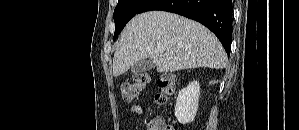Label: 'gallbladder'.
<instances>
[{"instance_id":"bac80fb5","label":"gallbladder","mask_w":299,"mask_h":130,"mask_svg":"<svg viewBox=\"0 0 299 130\" xmlns=\"http://www.w3.org/2000/svg\"><path fill=\"white\" fill-rule=\"evenodd\" d=\"M155 67L154 63L150 59H143L138 62H136L132 67H131V72L132 73H143L146 71H149Z\"/></svg>"}]
</instances>
